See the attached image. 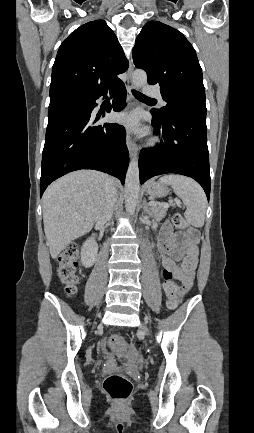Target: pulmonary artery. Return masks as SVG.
I'll return each mask as SVG.
<instances>
[{"mask_svg": "<svg viewBox=\"0 0 254 433\" xmlns=\"http://www.w3.org/2000/svg\"><path fill=\"white\" fill-rule=\"evenodd\" d=\"M145 93L147 95H150V96H153L155 98H158L161 101V104L165 105V102L161 98L160 91H159L158 87L146 86L145 87Z\"/></svg>", "mask_w": 254, "mask_h": 433, "instance_id": "pulmonary-artery-1", "label": "pulmonary artery"}]
</instances>
